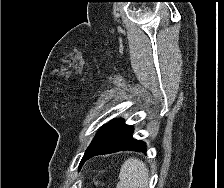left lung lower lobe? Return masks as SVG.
I'll use <instances>...</instances> for the list:
<instances>
[{
    "mask_svg": "<svg viewBox=\"0 0 224 188\" xmlns=\"http://www.w3.org/2000/svg\"><path fill=\"white\" fill-rule=\"evenodd\" d=\"M133 130L134 128L126 125L123 120H117L98 144L92 150L85 153L80 165L96 155L109 154L124 150L144 152L146 150V145L144 142L132 138Z\"/></svg>",
    "mask_w": 224,
    "mask_h": 188,
    "instance_id": "left-lung-lower-lobe-1",
    "label": "left lung lower lobe"
}]
</instances>
